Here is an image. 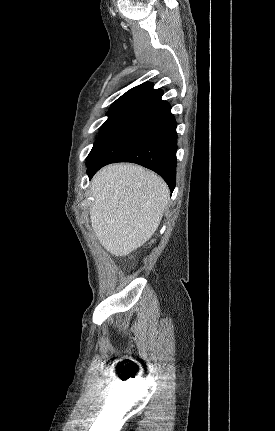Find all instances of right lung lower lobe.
I'll return each mask as SVG.
<instances>
[{"label": "right lung lower lobe", "instance_id": "98d812e1", "mask_svg": "<svg viewBox=\"0 0 275 431\" xmlns=\"http://www.w3.org/2000/svg\"><path fill=\"white\" fill-rule=\"evenodd\" d=\"M176 126L170 104L162 99L140 109L88 165L89 178L107 164L132 162L158 173L172 192L176 182Z\"/></svg>", "mask_w": 275, "mask_h": 431}]
</instances>
